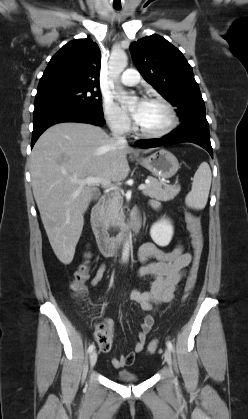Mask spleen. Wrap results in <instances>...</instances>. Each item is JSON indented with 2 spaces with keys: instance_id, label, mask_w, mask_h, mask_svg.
Wrapping results in <instances>:
<instances>
[{
  "instance_id": "1",
  "label": "spleen",
  "mask_w": 248,
  "mask_h": 419,
  "mask_svg": "<svg viewBox=\"0 0 248 419\" xmlns=\"http://www.w3.org/2000/svg\"><path fill=\"white\" fill-rule=\"evenodd\" d=\"M211 170L207 162H202L195 172L192 189L185 198V203L193 209H203L208 200L211 186Z\"/></svg>"
}]
</instances>
